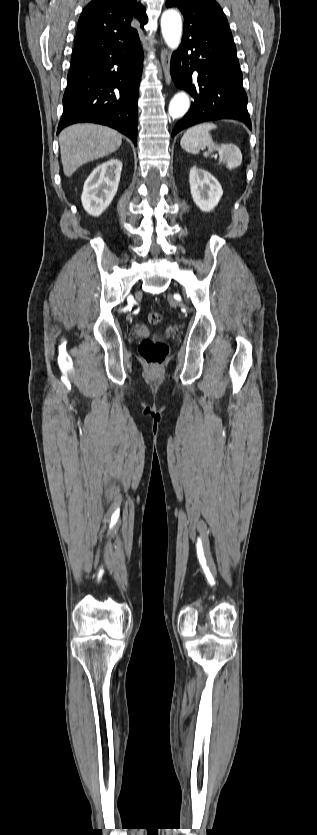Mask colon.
Returning <instances> with one entry per match:
<instances>
[{
  "label": "colon",
  "instance_id": "1",
  "mask_svg": "<svg viewBox=\"0 0 317 835\" xmlns=\"http://www.w3.org/2000/svg\"><path fill=\"white\" fill-rule=\"evenodd\" d=\"M161 320L162 315L159 312H151L148 315V322L152 325L160 323ZM139 353L149 366L158 367L163 364L167 356L168 346L163 341L145 338L139 345Z\"/></svg>",
  "mask_w": 317,
  "mask_h": 835
}]
</instances>
